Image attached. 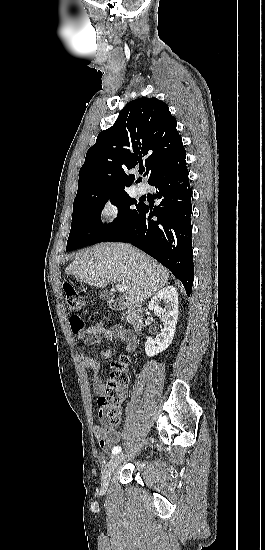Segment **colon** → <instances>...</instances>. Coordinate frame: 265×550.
Returning <instances> with one entry per match:
<instances>
[{
    "instance_id": "5ec220e1",
    "label": "colon",
    "mask_w": 265,
    "mask_h": 550,
    "mask_svg": "<svg viewBox=\"0 0 265 550\" xmlns=\"http://www.w3.org/2000/svg\"><path fill=\"white\" fill-rule=\"evenodd\" d=\"M66 305L71 313L70 323L74 333L84 329L82 312L85 308V298L77 290L74 284L66 282L63 284ZM129 360L121 356L112 363L110 378L104 385L102 395L99 399L100 411L109 425H118L121 422L120 405L130 383L128 374Z\"/></svg>"
}]
</instances>
